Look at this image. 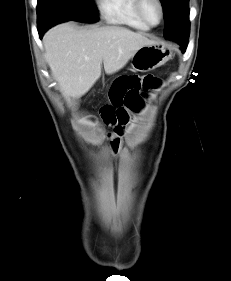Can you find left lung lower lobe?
Here are the masks:
<instances>
[{"mask_svg":"<svg viewBox=\"0 0 231 281\" xmlns=\"http://www.w3.org/2000/svg\"><path fill=\"white\" fill-rule=\"evenodd\" d=\"M189 38V31L177 30L172 33L167 39L176 40L181 45V50L185 52Z\"/></svg>","mask_w":231,"mask_h":281,"instance_id":"obj_1","label":"left lung lower lobe"}]
</instances>
